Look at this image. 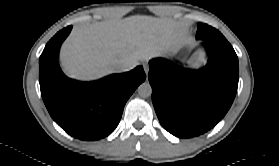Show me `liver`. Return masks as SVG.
Wrapping results in <instances>:
<instances>
[{"label":"liver","instance_id":"liver-1","mask_svg":"<svg viewBox=\"0 0 279 166\" xmlns=\"http://www.w3.org/2000/svg\"><path fill=\"white\" fill-rule=\"evenodd\" d=\"M176 24L169 19L132 16L79 26L63 44L60 61L71 78L89 81L119 71L125 62L149 60L175 51Z\"/></svg>","mask_w":279,"mask_h":166}]
</instances>
